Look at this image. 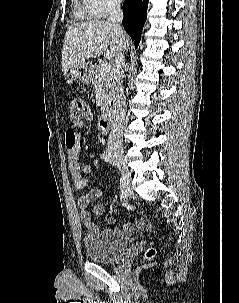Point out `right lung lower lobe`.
Segmentation results:
<instances>
[{
    "label": "right lung lower lobe",
    "instance_id": "98d812e1",
    "mask_svg": "<svg viewBox=\"0 0 239 303\" xmlns=\"http://www.w3.org/2000/svg\"><path fill=\"white\" fill-rule=\"evenodd\" d=\"M147 5L148 0H125L123 3L122 24L134 41L135 48L138 47L141 39L142 28L146 21Z\"/></svg>",
    "mask_w": 239,
    "mask_h": 303
}]
</instances>
